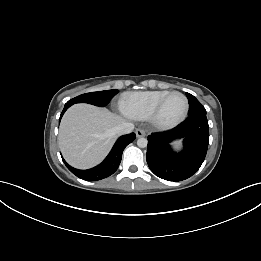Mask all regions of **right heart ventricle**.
<instances>
[{
    "label": "right heart ventricle",
    "instance_id": "e07e8e85",
    "mask_svg": "<svg viewBox=\"0 0 261 261\" xmlns=\"http://www.w3.org/2000/svg\"><path fill=\"white\" fill-rule=\"evenodd\" d=\"M168 92V90H153L127 93L120 100V110L131 119H149L156 103Z\"/></svg>",
    "mask_w": 261,
    "mask_h": 261
}]
</instances>
